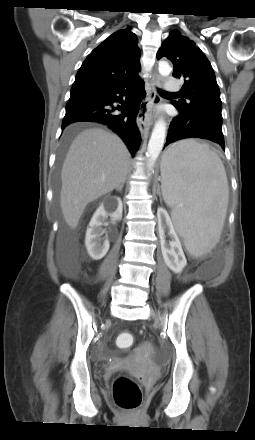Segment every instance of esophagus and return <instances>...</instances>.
Returning a JSON list of instances; mask_svg holds the SVG:
<instances>
[{"label": "esophagus", "mask_w": 255, "mask_h": 440, "mask_svg": "<svg viewBox=\"0 0 255 440\" xmlns=\"http://www.w3.org/2000/svg\"><path fill=\"white\" fill-rule=\"evenodd\" d=\"M159 86L160 77L158 74H154L150 82L149 91L147 92L145 100L141 103L137 115V125L142 134L153 124V120L156 117L157 106L161 103V98L157 93Z\"/></svg>", "instance_id": "34e87169"}]
</instances>
